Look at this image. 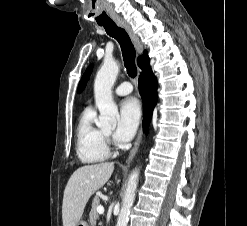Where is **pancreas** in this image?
Segmentation results:
<instances>
[{
    "mask_svg": "<svg viewBox=\"0 0 247 226\" xmlns=\"http://www.w3.org/2000/svg\"><path fill=\"white\" fill-rule=\"evenodd\" d=\"M100 205L99 197H95L92 202V209L89 214V221L92 225L96 224L97 219L99 218L97 207Z\"/></svg>",
    "mask_w": 247,
    "mask_h": 226,
    "instance_id": "pancreas-1",
    "label": "pancreas"
}]
</instances>
